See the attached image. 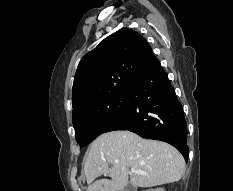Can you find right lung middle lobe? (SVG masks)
<instances>
[{
  "mask_svg": "<svg viewBox=\"0 0 233 191\" xmlns=\"http://www.w3.org/2000/svg\"><path fill=\"white\" fill-rule=\"evenodd\" d=\"M127 94L100 102L73 116L75 138L80 147L86 146L128 107Z\"/></svg>",
  "mask_w": 233,
  "mask_h": 191,
  "instance_id": "dd1d6c3e",
  "label": "right lung middle lobe"
}]
</instances>
